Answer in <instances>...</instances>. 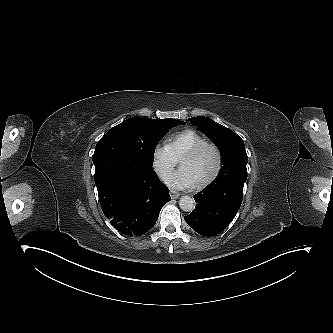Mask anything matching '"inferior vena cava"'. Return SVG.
Segmentation results:
<instances>
[{"mask_svg": "<svg viewBox=\"0 0 333 333\" xmlns=\"http://www.w3.org/2000/svg\"><path fill=\"white\" fill-rule=\"evenodd\" d=\"M163 176H164V180L166 181V179H167V176H166V174H163Z\"/></svg>", "mask_w": 333, "mask_h": 333, "instance_id": "1", "label": "inferior vena cava"}]
</instances>
